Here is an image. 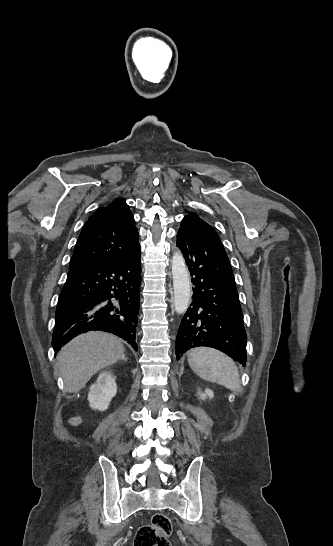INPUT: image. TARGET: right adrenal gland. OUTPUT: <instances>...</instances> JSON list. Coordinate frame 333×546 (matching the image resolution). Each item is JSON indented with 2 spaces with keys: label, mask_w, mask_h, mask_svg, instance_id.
Returning <instances> with one entry per match:
<instances>
[{
  "label": "right adrenal gland",
  "mask_w": 333,
  "mask_h": 546,
  "mask_svg": "<svg viewBox=\"0 0 333 546\" xmlns=\"http://www.w3.org/2000/svg\"><path fill=\"white\" fill-rule=\"evenodd\" d=\"M122 360H127V358L124 356V357L122 358Z\"/></svg>",
  "instance_id": "obj_1"
}]
</instances>
